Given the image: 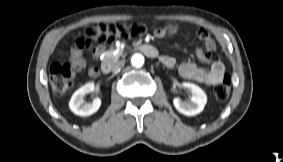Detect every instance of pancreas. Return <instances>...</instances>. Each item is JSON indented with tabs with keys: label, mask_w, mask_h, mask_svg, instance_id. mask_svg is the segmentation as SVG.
I'll use <instances>...</instances> for the list:
<instances>
[{
	"label": "pancreas",
	"mask_w": 283,
	"mask_h": 162,
	"mask_svg": "<svg viewBox=\"0 0 283 162\" xmlns=\"http://www.w3.org/2000/svg\"><path fill=\"white\" fill-rule=\"evenodd\" d=\"M122 53H123V52H122L121 50H119V52H118V54H117V57L121 56ZM107 57H113V55L109 54Z\"/></svg>",
	"instance_id": "obj_1"
}]
</instances>
